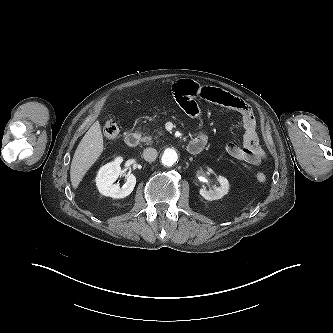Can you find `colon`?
<instances>
[{
	"label": "colon",
	"instance_id": "obj_1",
	"mask_svg": "<svg viewBox=\"0 0 333 333\" xmlns=\"http://www.w3.org/2000/svg\"><path fill=\"white\" fill-rule=\"evenodd\" d=\"M104 135L109 139H114L119 134V126L117 121L110 117L105 121L104 127H103ZM266 175L262 172H259L256 174V180L259 183H263L266 181Z\"/></svg>",
	"mask_w": 333,
	"mask_h": 333
}]
</instances>
